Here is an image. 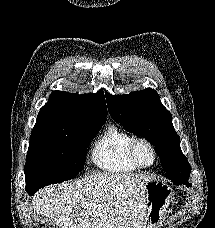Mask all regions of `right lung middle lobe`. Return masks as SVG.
Instances as JSON below:
<instances>
[{"instance_id": "obj_1", "label": "right lung middle lobe", "mask_w": 215, "mask_h": 228, "mask_svg": "<svg viewBox=\"0 0 215 228\" xmlns=\"http://www.w3.org/2000/svg\"><path fill=\"white\" fill-rule=\"evenodd\" d=\"M104 123L77 124L31 133L25 164L26 191L76 177L84 168L87 148Z\"/></svg>"}]
</instances>
